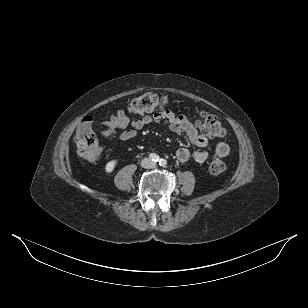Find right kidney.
Segmentation results:
<instances>
[{
	"label": "right kidney",
	"mask_w": 308,
	"mask_h": 308,
	"mask_svg": "<svg viewBox=\"0 0 308 308\" xmlns=\"http://www.w3.org/2000/svg\"><path fill=\"white\" fill-rule=\"evenodd\" d=\"M116 165H117V160L109 161L105 166L106 173H112Z\"/></svg>",
	"instance_id": "ca27d5eb"
}]
</instances>
